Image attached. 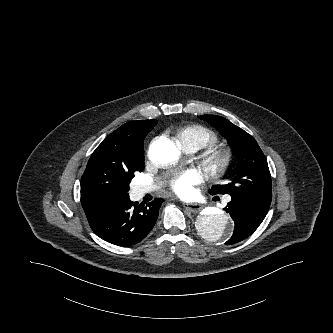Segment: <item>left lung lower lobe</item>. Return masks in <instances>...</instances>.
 I'll use <instances>...</instances> for the list:
<instances>
[{
	"label": "left lung lower lobe",
	"mask_w": 333,
	"mask_h": 333,
	"mask_svg": "<svg viewBox=\"0 0 333 333\" xmlns=\"http://www.w3.org/2000/svg\"><path fill=\"white\" fill-rule=\"evenodd\" d=\"M270 204L252 200L232 198L225 211L234 220L235 227L226 245L235 244L250 236L264 220Z\"/></svg>",
	"instance_id": "obj_1"
}]
</instances>
